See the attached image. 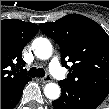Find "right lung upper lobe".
I'll list each match as a JSON object with an SVG mask.
<instances>
[{"label":"right lung upper lobe","mask_w":109,"mask_h":109,"mask_svg":"<svg viewBox=\"0 0 109 109\" xmlns=\"http://www.w3.org/2000/svg\"><path fill=\"white\" fill-rule=\"evenodd\" d=\"M38 30V25L34 23L18 19L1 20V92L29 79L22 69L25 62L21 55L24 46Z\"/></svg>","instance_id":"1"}]
</instances>
